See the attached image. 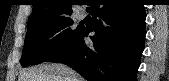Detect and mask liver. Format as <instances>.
I'll return each instance as SVG.
<instances>
[{
  "mask_svg": "<svg viewBox=\"0 0 169 81\" xmlns=\"http://www.w3.org/2000/svg\"><path fill=\"white\" fill-rule=\"evenodd\" d=\"M19 81H84V78L67 65L43 63L21 73Z\"/></svg>",
  "mask_w": 169,
  "mask_h": 81,
  "instance_id": "obj_1",
  "label": "liver"
}]
</instances>
